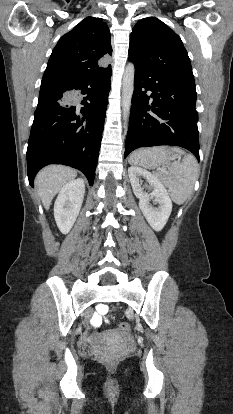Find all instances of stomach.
<instances>
[{"mask_svg": "<svg viewBox=\"0 0 233 414\" xmlns=\"http://www.w3.org/2000/svg\"><path fill=\"white\" fill-rule=\"evenodd\" d=\"M173 152L165 147H154L138 150L136 158L146 168H157L170 163Z\"/></svg>", "mask_w": 233, "mask_h": 414, "instance_id": "obj_1", "label": "stomach"}]
</instances>
